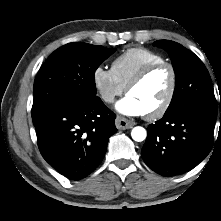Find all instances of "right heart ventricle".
<instances>
[{"label": "right heart ventricle", "mask_w": 221, "mask_h": 221, "mask_svg": "<svg viewBox=\"0 0 221 221\" xmlns=\"http://www.w3.org/2000/svg\"><path fill=\"white\" fill-rule=\"evenodd\" d=\"M165 61L159 53L144 47H133L123 51L111 64L116 79L126 87L130 80L145 66Z\"/></svg>", "instance_id": "e07e8e85"}]
</instances>
